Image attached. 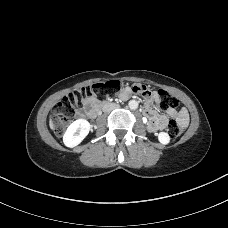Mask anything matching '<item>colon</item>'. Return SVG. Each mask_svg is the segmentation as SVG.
<instances>
[{
  "mask_svg": "<svg viewBox=\"0 0 228 228\" xmlns=\"http://www.w3.org/2000/svg\"><path fill=\"white\" fill-rule=\"evenodd\" d=\"M125 83L121 80H108L102 83L93 84L90 87H82L75 90L72 94L64 97L56 106L54 114L52 116V123L54 131L57 135H61L65 130L67 124L69 123V116L72 115L76 108H79L83 102H85L88 93L95 95L96 97L100 96L103 90H114L121 88ZM131 89L134 93L142 95L147 98L151 96V91L144 85L141 84H132ZM159 106L162 110L168 111L175 109L179 101L178 99L171 95L170 93L159 90ZM184 132V127L179 124L177 121H170L168 124V133L171 138H178Z\"/></svg>",
  "mask_w": 228,
  "mask_h": 228,
  "instance_id": "obj_1",
  "label": "colon"
}]
</instances>
